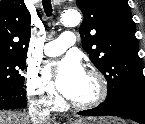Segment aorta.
I'll return each instance as SVG.
<instances>
[{
    "instance_id": "aorta-1",
    "label": "aorta",
    "mask_w": 145,
    "mask_h": 124,
    "mask_svg": "<svg viewBox=\"0 0 145 124\" xmlns=\"http://www.w3.org/2000/svg\"><path fill=\"white\" fill-rule=\"evenodd\" d=\"M62 20L66 26H76L81 21V15L76 10H68L62 15Z\"/></svg>"
}]
</instances>
